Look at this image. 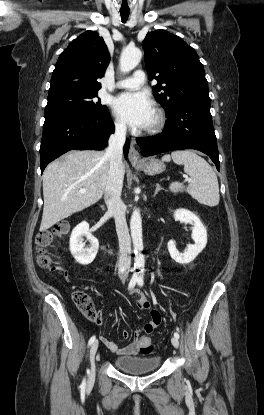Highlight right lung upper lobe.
I'll return each mask as SVG.
<instances>
[{
    "label": "right lung upper lobe",
    "instance_id": "1",
    "mask_svg": "<svg viewBox=\"0 0 264 415\" xmlns=\"http://www.w3.org/2000/svg\"><path fill=\"white\" fill-rule=\"evenodd\" d=\"M110 61L107 46L95 31L74 39L60 54L51 78L49 95L63 92H93L101 88L97 79Z\"/></svg>",
    "mask_w": 264,
    "mask_h": 415
}]
</instances>
